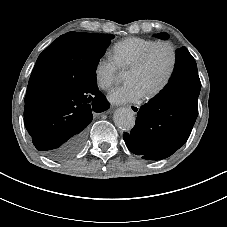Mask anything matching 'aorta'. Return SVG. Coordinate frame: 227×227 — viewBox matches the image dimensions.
Here are the masks:
<instances>
[{
	"instance_id": "1",
	"label": "aorta",
	"mask_w": 227,
	"mask_h": 227,
	"mask_svg": "<svg viewBox=\"0 0 227 227\" xmlns=\"http://www.w3.org/2000/svg\"><path fill=\"white\" fill-rule=\"evenodd\" d=\"M115 125L122 130H131L135 125V115L128 108H119L113 115Z\"/></svg>"
}]
</instances>
